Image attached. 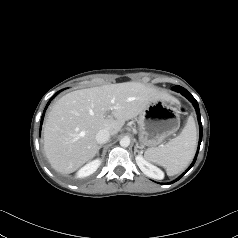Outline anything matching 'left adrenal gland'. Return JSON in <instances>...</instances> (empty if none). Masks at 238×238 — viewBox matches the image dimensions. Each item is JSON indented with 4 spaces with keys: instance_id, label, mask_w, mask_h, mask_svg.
Returning <instances> with one entry per match:
<instances>
[{
    "instance_id": "obj_1",
    "label": "left adrenal gland",
    "mask_w": 238,
    "mask_h": 238,
    "mask_svg": "<svg viewBox=\"0 0 238 238\" xmlns=\"http://www.w3.org/2000/svg\"><path fill=\"white\" fill-rule=\"evenodd\" d=\"M139 146L138 143L136 144L135 148H134V153L138 152V153H142L141 151L138 150Z\"/></svg>"
}]
</instances>
